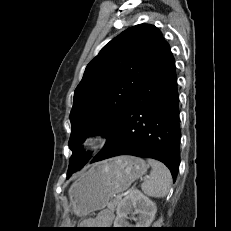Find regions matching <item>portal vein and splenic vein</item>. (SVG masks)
<instances>
[{"label":"portal vein and splenic vein","instance_id":"18ae733b","mask_svg":"<svg viewBox=\"0 0 231 231\" xmlns=\"http://www.w3.org/2000/svg\"><path fill=\"white\" fill-rule=\"evenodd\" d=\"M131 189H132V188H131ZM131 189L127 190L126 192H124V193H122V194L116 195V198H122L123 196H125L126 194H128V193L131 191Z\"/></svg>","mask_w":231,"mask_h":231}]
</instances>
